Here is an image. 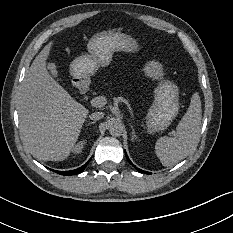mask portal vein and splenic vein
Returning a JSON list of instances; mask_svg holds the SVG:
<instances>
[{
	"label": "portal vein and splenic vein",
	"mask_w": 233,
	"mask_h": 233,
	"mask_svg": "<svg viewBox=\"0 0 233 233\" xmlns=\"http://www.w3.org/2000/svg\"><path fill=\"white\" fill-rule=\"evenodd\" d=\"M93 107H104L107 104V98L105 96H97L90 101Z\"/></svg>",
	"instance_id": "obj_1"
}]
</instances>
